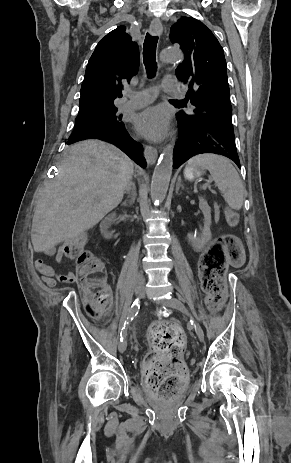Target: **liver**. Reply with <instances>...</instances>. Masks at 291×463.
Masks as SVG:
<instances>
[{
    "label": "liver",
    "instance_id": "6515ba94",
    "mask_svg": "<svg viewBox=\"0 0 291 463\" xmlns=\"http://www.w3.org/2000/svg\"><path fill=\"white\" fill-rule=\"evenodd\" d=\"M133 173V162L113 145L94 139L72 145L37 201L34 250L53 255L56 245L95 226L120 204Z\"/></svg>",
    "mask_w": 291,
    "mask_h": 463
}]
</instances>
